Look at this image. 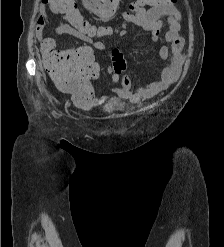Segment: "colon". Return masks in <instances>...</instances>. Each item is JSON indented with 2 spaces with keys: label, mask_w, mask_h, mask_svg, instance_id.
<instances>
[{
  "label": "colon",
  "mask_w": 224,
  "mask_h": 247,
  "mask_svg": "<svg viewBox=\"0 0 224 247\" xmlns=\"http://www.w3.org/2000/svg\"><path fill=\"white\" fill-rule=\"evenodd\" d=\"M176 2L177 0H135L129 7L128 15L146 6L167 7ZM58 5L64 22L85 37L95 39L117 34L114 28L95 26L84 19L77 8L76 0H59ZM110 58L114 72L122 73L126 63L121 52L113 49ZM45 67L60 88L73 93L76 104L82 107L96 104L97 99L89 86V81L98 76L99 68L93 62L90 49L81 48L61 56L51 53L45 60Z\"/></svg>",
  "instance_id": "5ec220e1"
}]
</instances>
